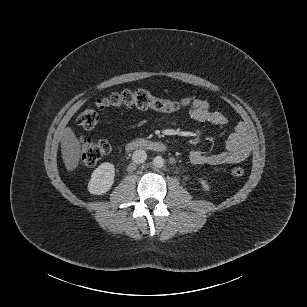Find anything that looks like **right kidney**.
Returning a JSON list of instances; mask_svg holds the SVG:
<instances>
[{"label": "right kidney", "instance_id": "ca27d5eb", "mask_svg": "<svg viewBox=\"0 0 307 307\" xmlns=\"http://www.w3.org/2000/svg\"><path fill=\"white\" fill-rule=\"evenodd\" d=\"M115 181V167L105 162L97 167L88 181L87 190L93 196H103L113 187Z\"/></svg>", "mask_w": 307, "mask_h": 307}]
</instances>
